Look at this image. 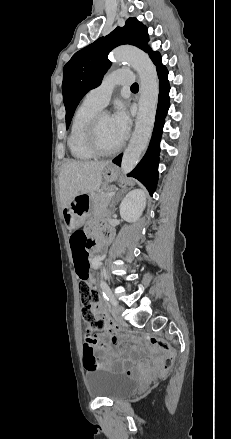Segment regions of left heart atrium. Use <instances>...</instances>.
I'll return each mask as SVG.
<instances>
[{
	"mask_svg": "<svg viewBox=\"0 0 231 439\" xmlns=\"http://www.w3.org/2000/svg\"><path fill=\"white\" fill-rule=\"evenodd\" d=\"M111 124L116 138L121 144L128 136L130 129V118L123 106H118L111 116Z\"/></svg>",
	"mask_w": 231,
	"mask_h": 439,
	"instance_id": "obj_1",
	"label": "left heart atrium"
}]
</instances>
